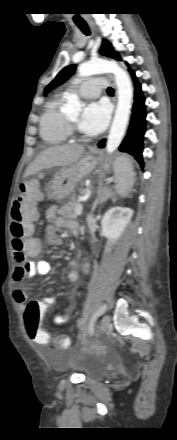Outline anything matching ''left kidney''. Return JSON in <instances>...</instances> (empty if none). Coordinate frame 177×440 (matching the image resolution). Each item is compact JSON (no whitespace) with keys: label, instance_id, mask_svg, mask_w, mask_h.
<instances>
[{"label":"left kidney","instance_id":"left-kidney-1","mask_svg":"<svg viewBox=\"0 0 177 440\" xmlns=\"http://www.w3.org/2000/svg\"><path fill=\"white\" fill-rule=\"evenodd\" d=\"M127 215L128 217L130 215L128 209L122 207H114L104 215L102 227L113 242L117 240L123 232L124 226H121L120 223L126 219Z\"/></svg>","mask_w":177,"mask_h":440}]
</instances>
